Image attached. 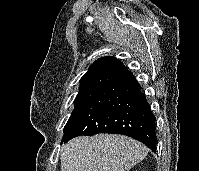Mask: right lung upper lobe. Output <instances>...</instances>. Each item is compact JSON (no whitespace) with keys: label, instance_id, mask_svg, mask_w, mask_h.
<instances>
[{"label":"right lung upper lobe","instance_id":"right-lung-upper-lobe-1","mask_svg":"<svg viewBox=\"0 0 199 171\" xmlns=\"http://www.w3.org/2000/svg\"><path fill=\"white\" fill-rule=\"evenodd\" d=\"M124 65L115 57H102L96 60L89 68L87 73L80 79V83L96 76H117L126 71Z\"/></svg>","mask_w":199,"mask_h":171}]
</instances>
